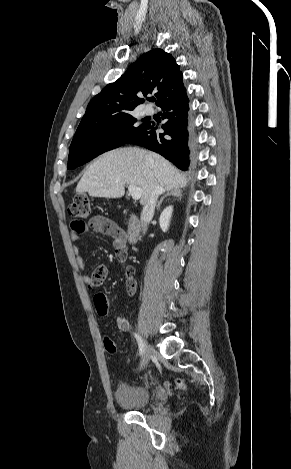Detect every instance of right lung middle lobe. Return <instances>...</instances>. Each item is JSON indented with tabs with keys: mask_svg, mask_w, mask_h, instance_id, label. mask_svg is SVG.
<instances>
[{
	"mask_svg": "<svg viewBox=\"0 0 291 469\" xmlns=\"http://www.w3.org/2000/svg\"><path fill=\"white\" fill-rule=\"evenodd\" d=\"M132 112L81 121L70 145L68 169H74L98 155L123 145L146 123L136 125Z\"/></svg>",
	"mask_w": 291,
	"mask_h": 469,
	"instance_id": "right-lung-middle-lobe-1",
	"label": "right lung middle lobe"
}]
</instances>
